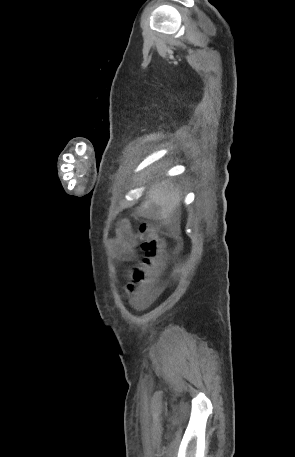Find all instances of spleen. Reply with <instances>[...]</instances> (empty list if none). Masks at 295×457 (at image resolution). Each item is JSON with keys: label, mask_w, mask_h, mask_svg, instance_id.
<instances>
[{"label": "spleen", "mask_w": 295, "mask_h": 457, "mask_svg": "<svg viewBox=\"0 0 295 457\" xmlns=\"http://www.w3.org/2000/svg\"><path fill=\"white\" fill-rule=\"evenodd\" d=\"M181 191L171 182L155 183L149 190L146 200L139 210L150 212L159 209L161 218L167 222L172 217L174 210L181 201Z\"/></svg>", "instance_id": "obj_1"}]
</instances>
